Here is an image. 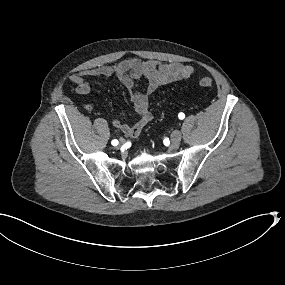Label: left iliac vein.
<instances>
[{
  "label": "left iliac vein",
  "mask_w": 285,
  "mask_h": 285,
  "mask_svg": "<svg viewBox=\"0 0 285 285\" xmlns=\"http://www.w3.org/2000/svg\"><path fill=\"white\" fill-rule=\"evenodd\" d=\"M182 135L179 130H174L171 133V145L173 148H178L180 141H181Z\"/></svg>",
  "instance_id": "4c4485c4"
}]
</instances>
